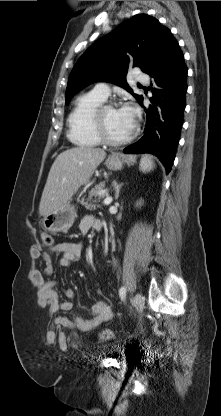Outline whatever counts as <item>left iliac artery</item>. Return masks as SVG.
<instances>
[{
    "mask_svg": "<svg viewBox=\"0 0 221 416\" xmlns=\"http://www.w3.org/2000/svg\"><path fill=\"white\" fill-rule=\"evenodd\" d=\"M119 296H120V298H121L122 300H124V299H125V296H126V288H125V287H121V288H120V290H119Z\"/></svg>",
    "mask_w": 221,
    "mask_h": 416,
    "instance_id": "1",
    "label": "left iliac artery"
}]
</instances>
